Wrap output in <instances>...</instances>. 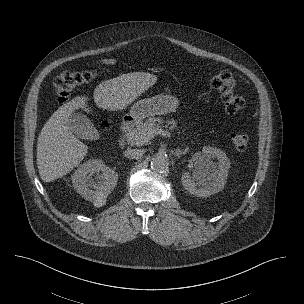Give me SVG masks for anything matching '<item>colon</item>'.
Listing matches in <instances>:
<instances>
[{"mask_svg":"<svg viewBox=\"0 0 304 304\" xmlns=\"http://www.w3.org/2000/svg\"><path fill=\"white\" fill-rule=\"evenodd\" d=\"M95 76L96 72L93 70L63 72L54 82V94L57 101L66 102L75 88L91 82ZM210 83L220 93L227 113L234 114L244 107V98L236 92L235 80L230 71H219L212 76ZM229 140L233 148L239 152L245 151L249 144V137L243 132L231 133Z\"/></svg>","mask_w":304,"mask_h":304,"instance_id":"colon-1","label":"colon"}]
</instances>
